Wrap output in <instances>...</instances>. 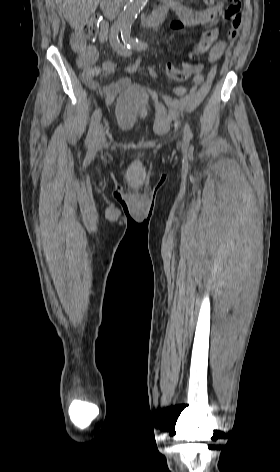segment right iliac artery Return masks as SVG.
I'll return each mask as SVG.
<instances>
[{
	"label": "right iliac artery",
	"instance_id": "right-iliac-artery-1",
	"mask_svg": "<svg viewBox=\"0 0 280 472\" xmlns=\"http://www.w3.org/2000/svg\"><path fill=\"white\" fill-rule=\"evenodd\" d=\"M122 30V26L119 24L113 25L110 30V44L113 49L120 55L130 56V48L126 44H122L118 38L119 32ZM102 117L101 109L97 108L91 117V123L88 131V135L85 140V144L92 150L96 141L97 129Z\"/></svg>",
	"mask_w": 280,
	"mask_h": 472
}]
</instances>
